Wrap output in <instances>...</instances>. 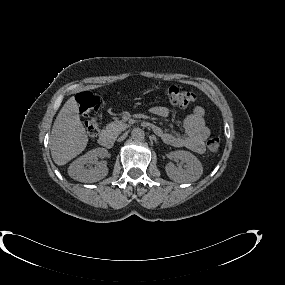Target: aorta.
<instances>
[{"mask_svg": "<svg viewBox=\"0 0 285 285\" xmlns=\"http://www.w3.org/2000/svg\"><path fill=\"white\" fill-rule=\"evenodd\" d=\"M131 136L136 141H142L145 138V133L140 128H134L131 132Z\"/></svg>", "mask_w": 285, "mask_h": 285, "instance_id": "762f6f07", "label": "aorta"}]
</instances>
